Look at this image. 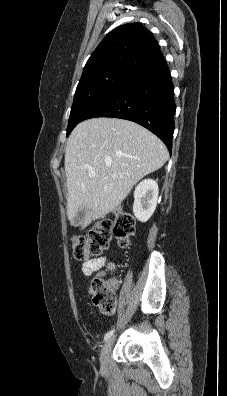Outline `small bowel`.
Returning a JSON list of instances; mask_svg holds the SVG:
<instances>
[{"label":"small bowel","instance_id":"1","mask_svg":"<svg viewBox=\"0 0 227 396\" xmlns=\"http://www.w3.org/2000/svg\"><path fill=\"white\" fill-rule=\"evenodd\" d=\"M105 261H106L105 257H99L84 262L82 265V271L84 275L89 276L93 272L99 270L104 265Z\"/></svg>","mask_w":227,"mask_h":396}]
</instances>
